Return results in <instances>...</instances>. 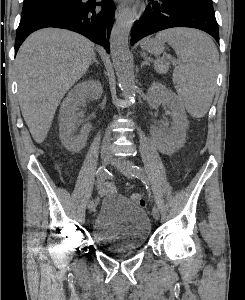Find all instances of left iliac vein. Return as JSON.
<instances>
[{
    "mask_svg": "<svg viewBox=\"0 0 245 300\" xmlns=\"http://www.w3.org/2000/svg\"><path fill=\"white\" fill-rule=\"evenodd\" d=\"M110 162L117 169H119L120 171H123L128 177H130V178L136 177L137 171H136L134 163H132L131 161L126 160V159L117 158V157H111ZM124 167H125V169H124ZM152 215L156 220L159 219V211L156 206H154L152 209Z\"/></svg>",
    "mask_w": 245,
    "mask_h": 300,
    "instance_id": "4c4485c4",
    "label": "left iliac vein"
}]
</instances>
